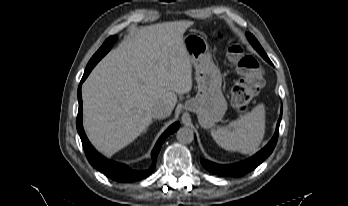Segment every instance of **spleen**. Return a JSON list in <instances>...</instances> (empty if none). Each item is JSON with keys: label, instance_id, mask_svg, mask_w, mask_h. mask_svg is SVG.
I'll return each mask as SVG.
<instances>
[{"label": "spleen", "instance_id": "3e777b00", "mask_svg": "<svg viewBox=\"0 0 348 206\" xmlns=\"http://www.w3.org/2000/svg\"><path fill=\"white\" fill-rule=\"evenodd\" d=\"M265 134L263 105L232 121L229 125L211 130L214 141L223 149L242 154L257 152Z\"/></svg>", "mask_w": 348, "mask_h": 206}]
</instances>
